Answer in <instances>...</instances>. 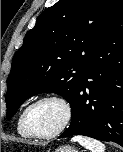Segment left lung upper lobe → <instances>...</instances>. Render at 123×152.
I'll return each instance as SVG.
<instances>
[{
    "label": "left lung upper lobe",
    "mask_w": 123,
    "mask_h": 152,
    "mask_svg": "<svg viewBox=\"0 0 123 152\" xmlns=\"http://www.w3.org/2000/svg\"><path fill=\"white\" fill-rule=\"evenodd\" d=\"M121 0H59L38 17L15 53L7 79V118L42 92L70 104L84 65L112 20Z\"/></svg>",
    "instance_id": "1"
}]
</instances>
